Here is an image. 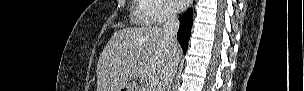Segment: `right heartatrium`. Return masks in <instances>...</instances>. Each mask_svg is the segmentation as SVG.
Wrapping results in <instances>:
<instances>
[{
  "label": "right heart atrium",
  "mask_w": 304,
  "mask_h": 91,
  "mask_svg": "<svg viewBox=\"0 0 304 91\" xmlns=\"http://www.w3.org/2000/svg\"><path fill=\"white\" fill-rule=\"evenodd\" d=\"M142 2L147 7L143 15L151 23H163L176 15L167 0H142Z\"/></svg>",
  "instance_id": "d8ad5b80"
}]
</instances>
